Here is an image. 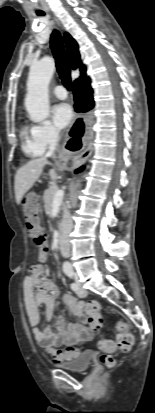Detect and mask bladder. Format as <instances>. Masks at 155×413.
<instances>
[{
    "label": "bladder",
    "instance_id": "obj_1",
    "mask_svg": "<svg viewBox=\"0 0 155 413\" xmlns=\"http://www.w3.org/2000/svg\"><path fill=\"white\" fill-rule=\"evenodd\" d=\"M92 358H93V352L84 351L78 354L76 357L70 359L66 363L56 364V367L60 369L68 370L71 372L82 373L88 370V368L92 364Z\"/></svg>",
    "mask_w": 155,
    "mask_h": 413
}]
</instances>
